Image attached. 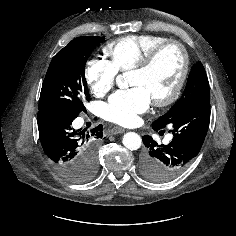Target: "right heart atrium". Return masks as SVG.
Returning <instances> with one entry per match:
<instances>
[{"label": "right heart atrium", "mask_w": 236, "mask_h": 236, "mask_svg": "<svg viewBox=\"0 0 236 236\" xmlns=\"http://www.w3.org/2000/svg\"><path fill=\"white\" fill-rule=\"evenodd\" d=\"M117 73L114 65L101 57L88 59L84 68L85 81L97 97L106 95L113 88Z\"/></svg>", "instance_id": "1"}]
</instances>
